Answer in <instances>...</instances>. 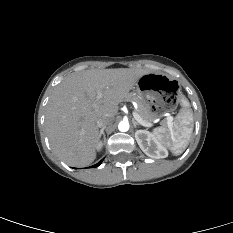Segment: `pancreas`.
<instances>
[{
	"mask_svg": "<svg viewBox=\"0 0 233 233\" xmlns=\"http://www.w3.org/2000/svg\"><path fill=\"white\" fill-rule=\"evenodd\" d=\"M129 98L135 100L138 104V115L146 122H152L155 118L154 114L151 112L149 106L145 105L138 96L131 94Z\"/></svg>",
	"mask_w": 233,
	"mask_h": 233,
	"instance_id": "1",
	"label": "pancreas"
}]
</instances>
